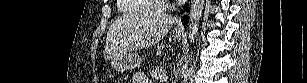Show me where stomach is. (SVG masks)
<instances>
[{
	"mask_svg": "<svg viewBox=\"0 0 307 83\" xmlns=\"http://www.w3.org/2000/svg\"><path fill=\"white\" fill-rule=\"evenodd\" d=\"M182 37L181 32H176L175 39L180 40ZM141 62V59L136 55H118L111 58V66L114 70L123 72L130 70L138 66Z\"/></svg>",
	"mask_w": 307,
	"mask_h": 83,
	"instance_id": "obj_1",
	"label": "stomach"
}]
</instances>
